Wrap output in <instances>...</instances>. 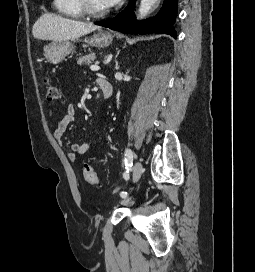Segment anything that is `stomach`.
Returning <instances> with one entry per match:
<instances>
[{
	"instance_id": "1",
	"label": "stomach",
	"mask_w": 255,
	"mask_h": 272,
	"mask_svg": "<svg viewBox=\"0 0 255 272\" xmlns=\"http://www.w3.org/2000/svg\"><path fill=\"white\" fill-rule=\"evenodd\" d=\"M113 36L107 31L99 30L94 33L87 43L95 47H107L111 44ZM74 49L70 41L53 42L44 49V57L49 63L58 64L65 59Z\"/></svg>"
}]
</instances>
